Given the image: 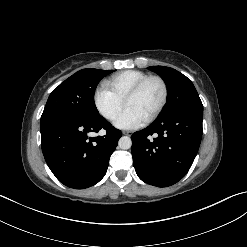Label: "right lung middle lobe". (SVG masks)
Returning a JSON list of instances; mask_svg holds the SVG:
<instances>
[{
    "label": "right lung middle lobe",
    "mask_w": 247,
    "mask_h": 247,
    "mask_svg": "<svg viewBox=\"0 0 247 247\" xmlns=\"http://www.w3.org/2000/svg\"><path fill=\"white\" fill-rule=\"evenodd\" d=\"M112 72L92 68L76 72L52 91L41 117L56 113L81 118L99 117L94 103L95 89L99 81Z\"/></svg>",
    "instance_id": "right-lung-middle-lobe-1"
}]
</instances>
